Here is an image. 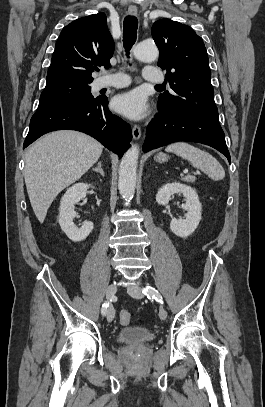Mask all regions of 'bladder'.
<instances>
[{
	"mask_svg": "<svg viewBox=\"0 0 265 407\" xmlns=\"http://www.w3.org/2000/svg\"><path fill=\"white\" fill-rule=\"evenodd\" d=\"M155 338V332L139 326H128L121 329L115 339L121 344L143 345Z\"/></svg>",
	"mask_w": 265,
	"mask_h": 407,
	"instance_id": "31cf9c89",
	"label": "bladder"
}]
</instances>
